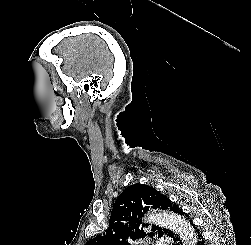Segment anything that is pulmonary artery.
Masks as SVG:
<instances>
[{"label": "pulmonary artery", "instance_id": "e3ab8cb5", "mask_svg": "<svg viewBox=\"0 0 251 245\" xmlns=\"http://www.w3.org/2000/svg\"><path fill=\"white\" fill-rule=\"evenodd\" d=\"M157 245H167V242L166 241H160L157 243Z\"/></svg>", "mask_w": 251, "mask_h": 245}]
</instances>
